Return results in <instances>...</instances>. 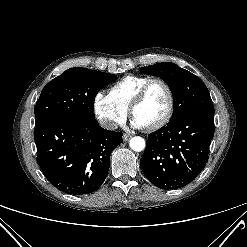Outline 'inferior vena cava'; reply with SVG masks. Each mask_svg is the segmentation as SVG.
Here are the masks:
<instances>
[{
    "instance_id": "602c4592",
    "label": "inferior vena cava",
    "mask_w": 247,
    "mask_h": 247,
    "mask_svg": "<svg viewBox=\"0 0 247 247\" xmlns=\"http://www.w3.org/2000/svg\"><path fill=\"white\" fill-rule=\"evenodd\" d=\"M99 124L101 125V127L108 129V130H115L118 127L115 122L107 120V119L99 120Z\"/></svg>"
}]
</instances>
